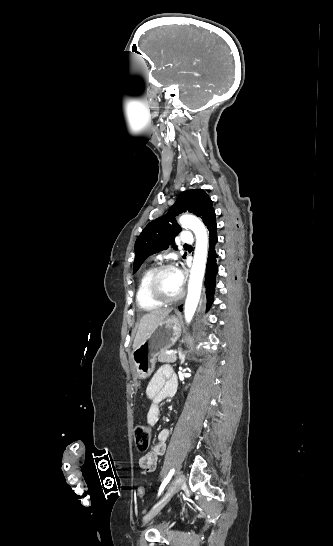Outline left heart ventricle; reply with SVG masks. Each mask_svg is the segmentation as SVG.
Wrapping results in <instances>:
<instances>
[{"label":"left heart ventricle","instance_id":"b2bd125f","mask_svg":"<svg viewBox=\"0 0 333 546\" xmlns=\"http://www.w3.org/2000/svg\"><path fill=\"white\" fill-rule=\"evenodd\" d=\"M158 289L163 296L171 298L177 296L182 287L178 284L175 270H167L158 278Z\"/></svg>","mask_w":333,"mask_h":546}]
</instances>
